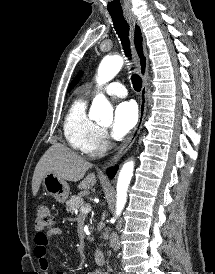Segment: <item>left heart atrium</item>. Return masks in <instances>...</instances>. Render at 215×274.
I'll return each instance as SVG.
<instances>
[{"mask_svg":"<svg viewBox=\"0 0 215 274\" xmlns=\"http://www.w3.org/2000/svg\"><path fill=\"white\" fill-rule=\"evenodd\" d=\"M138 121L137 106L133 102H122L114 111L112 136L116 140L124 138Z\"/></svg>","mask_w":215,"mask_h":274,"instance_id":"39dd6f15","label":"left heart atrium"}]
</instances>
